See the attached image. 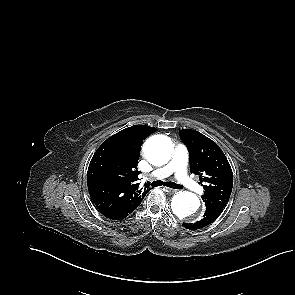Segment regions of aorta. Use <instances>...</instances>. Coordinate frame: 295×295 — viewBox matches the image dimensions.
Returning a JSON list of instances; mask_svg holds the SVG:
<instances>
[{"mask_svg":"<svg viewBox=\"0 0 295 295\" xmlns=\"http://www.w3.org/2000/svg\"><path fill=\"white\" fill-rule=\"evenodd\" d=\"M172 153L171 140L164 135H154L144 144L146 159L155 166L166 164ZM173 213L180 219L187 222H195L200 219V200L192 192L179 191L171 202Z\"/></svg>","mask_w":295,"mask_h":295,"instance_id":"1","label":"aorta"}]
</instances>
